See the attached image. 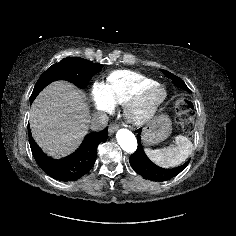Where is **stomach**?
<instances>
[{"mask_svg":"<svg viewBox=\"0 0 236 236\" xmlns=\"http://www.w3.org/2000/svg\"><path fill=\"white\" fill-rule=\"evenodd\" d=\"M171 131L172 123L170 118L161 114L144 127L142 140L146 145L157 144L169 137Z\"/></svg>","mask_w":236,"mask_h":236,"instance_id":"stomach-1","label":"stomach"}]
</instances>
